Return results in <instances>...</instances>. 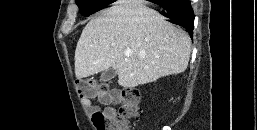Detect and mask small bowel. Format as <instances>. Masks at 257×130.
I'll return each mask as SVG.
<instances>
[{
    "instance_id": "1",
    "label": "small bowel",
    "mask_w": 257,
    "mask_h": 130,
    "mask_svg": "<svg viewBox=\"0 0 257 130\" xmlns=\"http://www.w3.org/2000/svg\"><path fill=\"white\" fill-rule=\"evenodd\" d=\"M92 99H97L101 104L107 105L103 112L111 113L113 110L109 106L116 101V97L111 94L96 93L93 97H82L81 102L89 113L98 111V107L92 103Z\"/></svg>"
}]
</instances>
